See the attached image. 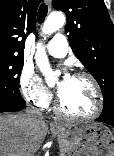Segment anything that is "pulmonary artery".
Here are the masks:
<instances>
[{"label": "pulmonary artery", "mask_w": 114, "mask_h": 156, "mask_svg": "<svg viewBox=\"0 0 114 156\" xmlns=\"http://www.w3.org/2000/svg\"><path fill=\"white\" fill-rule=\"evenodd\" d=\"M69 50L67 39L62 34H56L46 47V51L49 55L62 58Z\"/></svg>", "instance_id": "obj_1"}]
</instances>
